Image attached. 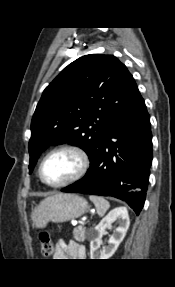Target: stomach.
Here are the masks:
<instances>
[{"mask_svg":"<svg viewBox=\"0 0 175 287\" xmlns=\"http://www.w3.org/2000/svg\"><path fill=\"white\" fill-rule=\"evenodd\" d=\"M89 209L87 201L76 194L58 193L42 200L31 214L33 224L38 228L49 222L63 223L82 216Z\"/></svg>","mask_w":175,"mask_h":287,"instance_id":"obj_1","label":"stomach"}]
</instances>
